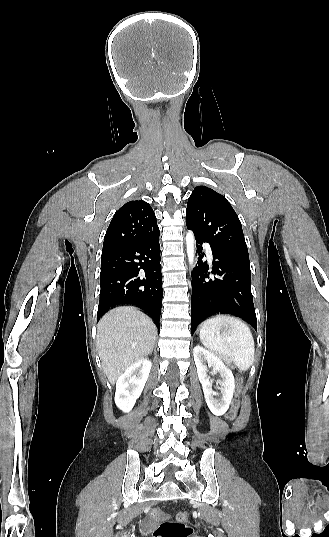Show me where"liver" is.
<instances>
[{
  "instance_id": "6515ba94",
  "label": "liver",
  "mask_w": 329,
  "mask_h": 537,
  "mask_svg": "<svg viewBox=\"0 0 329 537\" xmlns=\"http://www.w3.org/2000/svg\"><path fill=\"white\" fill-rule=\"evenodd\" d=\"M157 328L135 307H117L97 326V351L104 373L112 385L132 364L153 350Z\"/></svg>"
}]
</instances>
